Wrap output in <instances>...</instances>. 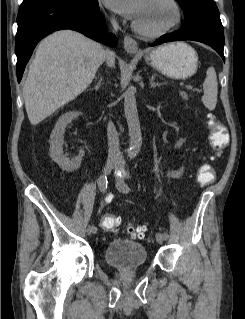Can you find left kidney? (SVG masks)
<instances>
[{
  "mask_svg": "<svg viewBox=\"0 0 245 319\" xmlns=\"http://www.w3.org/2000/svg\"><path fill=\"white\" fill-rule=\"evenodd\" d=\"M184 139H180L177 144L175 145L176 148H179L180 146H182V144L184 143Z\"/></svg>",
  "mask_w": 245,
  "mask_h": 319,
  "instance_id": "1",
  "label": "left kidney"
}]
</instances>
